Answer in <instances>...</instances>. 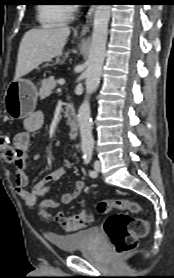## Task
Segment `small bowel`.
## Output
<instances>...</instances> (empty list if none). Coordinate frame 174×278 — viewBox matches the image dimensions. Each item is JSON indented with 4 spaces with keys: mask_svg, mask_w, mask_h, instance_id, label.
<instances>
[{
    "mask_svg": "<svg viewBox=\"0 0 174 278\" xmlns=\"http://www.w3.org/2000/svg\"><path fill=\"white\" fill-rule=\"evenodd\" d=\"M44 125V115L42 112H34L24 120V131L18 133L14 137L13 148L15 150V182L16 192L18 196L25 202L26 206L34 209L37 200L50 191L51 183L58 181L66 173V170L71 167L69 161L57 169L53 170L42 180L37 182L31 190L27 189L29 178L27 175V157L31 147L32 135L42 129ZM85 182L78 180L75 188L72 191L61 195L60 201L55 199H45L40 206L43 209L56 208L61 204H70L83 191Z\"/></svg>",
    "mask_w": 174,
    "mask_h": 278,
    "instance_id": "small-bowel-1",
    "label": "small bowel"
}]
</instances>
